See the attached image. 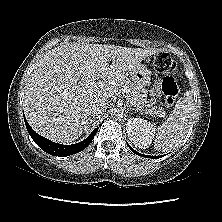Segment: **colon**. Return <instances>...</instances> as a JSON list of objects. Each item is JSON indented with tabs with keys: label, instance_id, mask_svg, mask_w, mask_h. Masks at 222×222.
<instances>
[{
	"label": "colon",
	"instance_id": "obj_1",
	"mask_svg": "<svg viewBox=\"0 0 222 222\" xmlns=\"http://www.w3.org/2000/svg\"><path fill=\"white\" fill-rule=\"evenodd\" d=\"M154 66L157 71L165 75L161 83V91L166 105L171 108L174 106L179 93L178 85L173 77L178 72V64L170 54L159 53L154 58Z\"/></svg>",
	"mask_w": 222,
	"mask_h": 222
}]
</instances>
